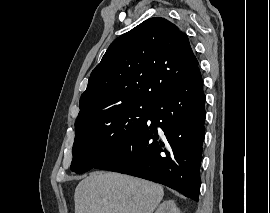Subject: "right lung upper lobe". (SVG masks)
<instances>
[{"label":"right lung upper lobe","mask_w":270,"mask_h":213,"mask_svg":"<svg viewBox=\"0 0 270 213\" xmlns=\"http://www.w3.org/2000/svg\"><path fill=\"white\" fill-rule=\"evenodd\" d=\"M197 67L187 35L165 18H150L109 46L80 98L76 123L134 102L154 104Z\"/></svg>","instance_id":"cb5924a9"}]
</instances>
